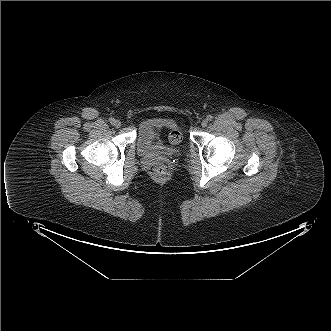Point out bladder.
<instances>
[{"label":"bladder","instance_id":"bladder-1","mask_svg":"<svg viewBox=\"0 0 331 331\" xmlns=\"http://www.w3.org/2000/svg\"><path fill=\"white\" fill-rule=\"evenodd\" d=\"M170 131H179L171 119L159 118L142 123L136 139L138 153L146 158H166L179 153L184 147L183 139L170 143L166 137Z\"/></svg>","mask_w":331,"mask_h":331}]
</instances>
